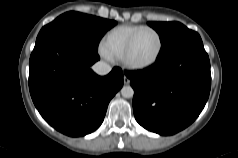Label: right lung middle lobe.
<instances>
[{
  "label": "right lung middle lobe",
  "instance_id": "dd1d6c3e",
  "mask_svg": "<svg viewBox=\"0 0 238 158\" xmlns=\"http://www.w3.org/2000/svg\"><path fill=\"white\" fill-rule=\"evenodd\" d=\"M116 21L87 15L75 11L66 12L44 26L39 32L36 43L51 35L68 36L85 47L97 51L102 36Z\"/></svg>",
  "mask_w": 238,
  "mask_h": 158
}]
</instances>
